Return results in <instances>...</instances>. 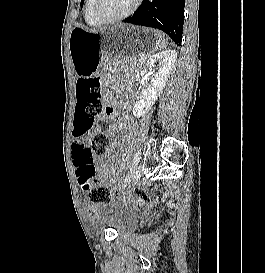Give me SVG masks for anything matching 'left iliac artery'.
I'll use <instances>...</instances> for the list:
<instances>
[{
	"mask_svg": "<svg viewBox=\"0 0 265 273\" xmlns=\"http://www.w3.org/2000/svg\"><path fill=\"white\" fill-rule=\"evenodd\" d=\"M139 158H140V153L138 152V153L136 154V157H135L133 163H132V166H131V168H130V171H129V173H128L126 179H125V184H124V186L130 181V178L132 177V175H133V173H134V171H135V169H136V166H137V164H138Z\"/></svg>",
	"mask_w": 265,
	"mask_h": 273,
	"instance_id": "left-iliac-artery-1",
	"label": "left iliac artery"
}]
</instances>
